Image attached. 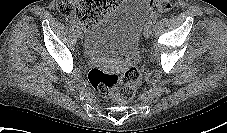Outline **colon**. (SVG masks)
<instances>
[{"label":"colon","mask_w":227,"mask_h":133,"mask_svg":"<svg viewBox=\"0 0 227 133\" xmlns=\"http://www.w3.org/2000/svg\"><path fill=\"white\" fill-rule=\"evenodd\" d=\"M154 9L169 11L174 0H150ZM120 0H58L57 8L65 16L76 17L84 26L97 23L107 12L114 9ZM91 86L101 95L125 104L133 99L142 83L140 70L132 66L123 73H110L93 68L88 74Z\"/></svg>","instance_id":"5ec220e1"}]
</instances>
